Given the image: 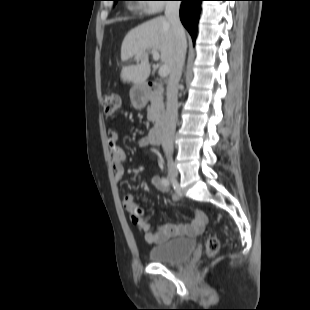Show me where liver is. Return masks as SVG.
<instances>
[{
    "instance_id": "liver-1",
    "label": "liver",
    "mask_w": 310,
    "mask_h": 310,
    "mask_svg": "<svg viewBox=\"0 0 310 310\" xmlns=\"http://www.w3.org/2000/svg\"><path fill=\"white\" fill-rule=\"evenodd\" d=\"M175 47V37L171 23L166 17H156L132 29L125 36L121 46V60L127 61L140 54L136 65L124 66L121 71L123 81L142 85L150 75L148 51L160 52L161 61L171 71Z\"/></svg>"
}]
</instances>
